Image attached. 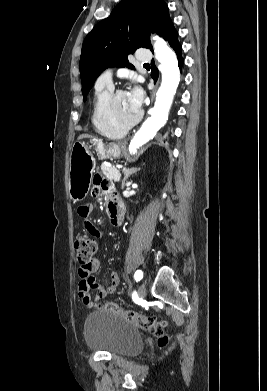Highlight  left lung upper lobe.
Instances as JSON below:
<instances>
[{"label": "left lung upper lobe", "mask_w": 267, "mask_h": 391, "mask_svg": "<svg viewBox=\"0 0 267 391\" xmlns=\"http://www.w3.org/2000/svg\"><path fill=\"white\" fill-rule=\"evenodd\" d=\"M173 27L163 0H122L110 16L86 36L80 57L84 101L100 73L112 66H134L127 56L138 48L152 50L149 33L163 37Z\"/></svg>", "instance_id": "5c2ea615"}]
</instances>
